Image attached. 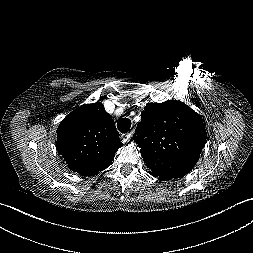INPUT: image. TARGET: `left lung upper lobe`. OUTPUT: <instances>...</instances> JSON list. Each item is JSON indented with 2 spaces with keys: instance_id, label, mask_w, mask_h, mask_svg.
Returning <instances> with one entry per match:
<instances>
[{
  "instance_id": "obj_1",
  "label": "left lung upper lobe",
  "mask_w": 253,
  "mask_h": 253,
  "mask_svg": "<svg viewBox=\"0 0 253 253\" xmlns=\"http://www.w3.org/2000/svg\"><path fill=\"white\" fill-rule=\"evenodd\" d=\"M134 141L153 176L177 179L189 173L205 146L202 118L176 100L148 103Z\"/></svg>"
}]
</instances>
